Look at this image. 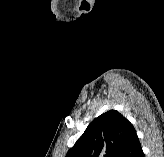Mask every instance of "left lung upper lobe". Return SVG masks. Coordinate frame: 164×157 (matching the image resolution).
Wrapping results in <instances>:
<instances>
[{"instance_id":"left-lung-upper-lobe-1","label":"left lung upper lobe","mask_w":164,"mask_h":157,"mask_svg":"<svg viewBox=\"0 0 164 157\" xmlns=\"http://www.w3.org/2000/svg\"><path fill=\"white\" fill-rule=\"evenodd\" d=\"M136 134L133 125L118 111L95 118L65 157H120Z\"/></svg>"}]
</instances>
